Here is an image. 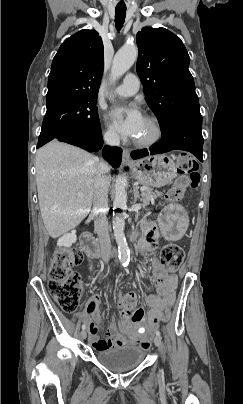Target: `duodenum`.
<instances>
[{"instance_id":"duodenum-1","label":"duodenum","mask_w":243,"mask_h":404,"mask_svg":"<svg viewBox=\"0 0 243 404\" xmlns=\"http://www.w3.org/2000/svg\"><path fill=\"white\" fill-rule=\"evenodd\" d=\"M132 240L135 241L137 239V234L132 235ZM80 243L82 250L84 253L90 258H100L102 257L101 249L94 239V237L89 232H84L81 235Z\"/></svg>"}]
</instances>
